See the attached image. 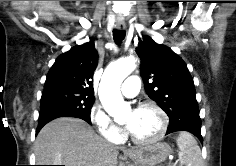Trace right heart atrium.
<instances>
[{"label": "right heart atrium", "instance_id": "right-heart-atrium-1", "mask_svg": "<svg viewBox=\"0 0 236 166\" xmlns=\"http://www.w3.org/2000/svg\"><path fill=\"white\" fill-rule=\"evenodd\" d=\"M90 120L98 133L111 142H119L122 138L121 130L114 124L102 106L95 104L90 110Z\"/></svg>", "mask_w": 236, "mask_h": 166}]
</instances>
